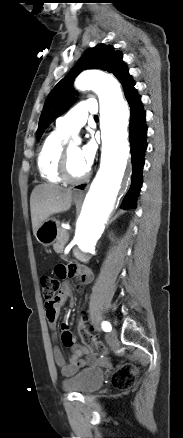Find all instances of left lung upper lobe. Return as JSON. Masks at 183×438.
Returning <instances> with one entry per match:
<instances>
[{
	"label": "left lung upper lobe",
	"mask_w": 183,
	"mask_h": 438,
	"mask_svg": "<svg viewBox=\"0 0 183 438\" xmlns=\"http://www.w3.org/2000/svg\"><path fill=\"white\" fill-rule=\"evenodd\" d=\"M122 58V53L114 51V47L111 45L98 44L94 48L87 49L68 75L48 95L40 116L36 139L39 140L43 130L75 101V91L72 88V83L81 71L86 69L105 70L113 73L124 87L132 77L129 75Z\"/></svg>",
	"instance_id": "1"
}]
</instances>
